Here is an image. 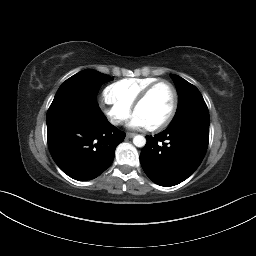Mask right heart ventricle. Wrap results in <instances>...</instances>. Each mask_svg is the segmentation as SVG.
I'll list each match as a JSON object with an SVG mask.
<instances>
[{
    "label": "right heart ventricle",
    "mask_w": 256,
    "mask_h": 256,
    "mask_svg": "<svg viewBox=\"0 0 256 256\" xmlns=\"http://www.w3.org/2000/svg\"><path fill=\"white\" fill-rule=\"evenodd\" d=\"M156 81L151 77L122 79L108 86L105 94L111 101L132 108L142 91Z\"/></svg>",
    "instance_id": "obj_1"
}]
</instances>
